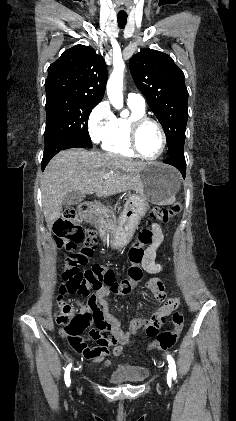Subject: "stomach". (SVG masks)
Wrapping results in <instances>:
<instances>
[{"mask_svg":"<svg viewBox=\"0 0 236 421\" xmlns=\"http://www.w3.org/2000/svg\"><path fill=\"white\" fill-rule=\"evenodd\" d=\"M142 190L127 198L120 217L109 211L100 215V223L106 225L111 235V247L121 249L130 243L138 225L145 217L149 204H172L180 188V176L173 166L162 162H145L140 170Z\"/></svg>","mask_w":236,"mask_h":421,"instance_id":"0dacf381","label":"stomach"}]
</instances>
